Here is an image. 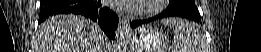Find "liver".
Masks as SVG:
<instances>
[{"instance_id": "obj_1", "label": "liver", "mask_w": 261, "mask_h": 52, "mask_svg": "<svg viewBox=\"0 0 261 52\" xmlns=\"http://www.w3.org/2000/svg\"><path fill=\"white\" fill-rule=\"evenodd\" d=\"M99 26L77 15H57L43 22L37 31L34 52H103Z\"/></svg>"}]
</instances>
